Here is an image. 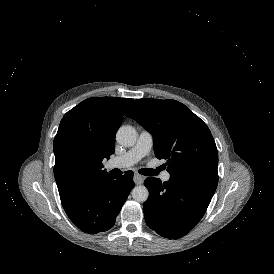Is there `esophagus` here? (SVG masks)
I'll list each match as a JSON object with an SVG mask.
<instances>
[{
	"instance_id": "1",
	"label": "esophagus",
	"mask_w": 274,
	"mask_h": 274,
	"mask_svg": "<svg viewBox=\"0 0 274 274\" xmlns=\"http://www.w3.org/2000/svg\"><path fill=\"white\" fill-rule=\"evenodd\" d=\"M144 179H145L144 176L137 173L134 174L133 181L136 185L142 184Z\"/></svg>"
}]
</instances>
